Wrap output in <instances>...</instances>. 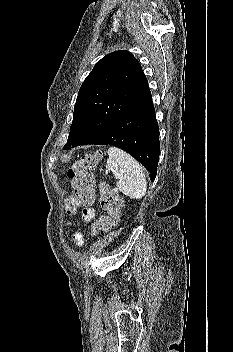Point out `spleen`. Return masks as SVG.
I'll return each mask as SVG.
<instances>
[{"label": "spleen", "instance_id": "3e777b00", "mask_svg": "<svg viewBox=\"0 0 233 352\" xmlns=\"http://www.w3.org/2000/svg\"><path fill=\"white\" fill-rule=\"evenodd\" d=\"M106 167L118 179L116 185L124 195L131 199L145 196L147 182L143 167L131 155L117 147H110Z\"/></svg>", "mask_w": 233, "mask_h": 352}]
</instances>
